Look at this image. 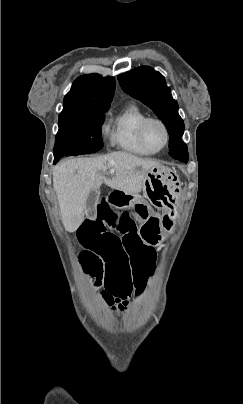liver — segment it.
Returning a JSON list of instances; mask_svg holds the SVG:
<instances>
[{"label":"liver","mask_w":243,"mask_h":404,"mask_svg":"<svg viewBox=\"0 0 243 404\" xmlns=\"http://www.w3.org/2000/svg\"><path fill=\"white\" fill-rule=\"evenodd\" d=\"M159 166L150 158H138L128 152H112L97 158H74L55 166L53 188L61 210L62 224L67 232H76L84 222L89 192L106 184L113 190L138 196L143 178L150 168ZM107 170H115L113 178H105Z\"/></svg>","instance_id":"1"}]
</instances>
